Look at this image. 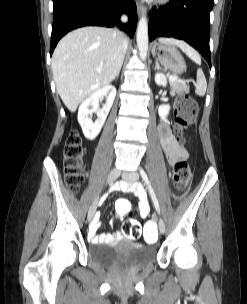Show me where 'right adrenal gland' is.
<instances>
[{"label":"right adrenal gland","mask_w":247,"mask_h":304,"mask_svg":"<svg viewBox=\"0 0 247 304\" xmlns=\"http://www.w3.org/2000/svg\"><path fill=\"white\" fill-rule=\"evenodd\" d=\"M119 72H120V71H119ZM119 72L117 73L116 78H118V77H119Z\"/></svg>","instance_id":"right-adrenal-gland-1"}]
</instances>
